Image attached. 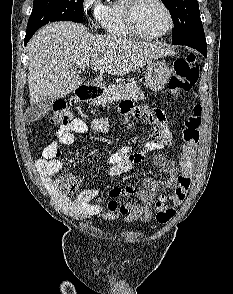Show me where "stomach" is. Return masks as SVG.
I'll return each mask as SVG.
<instances>
[{
	"label": "stomach",
	"instance_id": "0dacf381",
	"mask_svg": "<svg viewBox=\"0 0 233 294\" xmlns=\"http://www.w3.org/2000/svg\"><path fill=\"white\" fill-rule=\"evenodd\" d=\"M171 76V69L161 61H151L145 71V86L154 92L162 90Z\"/></svg>",
	"mask_w": 233,
	"mask_h": 294
}]
</instances>
